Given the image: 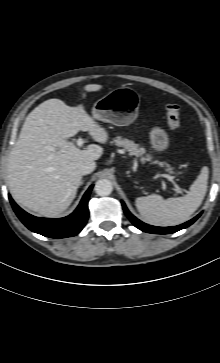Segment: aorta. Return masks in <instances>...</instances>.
Listing matches in <instances>:
<instances>
[{
	"label": "aorta",
	"instance_id": "obj_1",
	"mask_svg": "<svg viewBox=\"0 0 220 363\" xmlns=\"http://www.w3.org/2000/svg\"><path fill=\"white\" fill-rule=\"evenodd\" d=\"M94 190L99 196H108L113 190L112 182L108 179H99L95 183Z\"/></svg>",
	"mask_w": 220,
	"mask_h": 363
}]
</instances>
